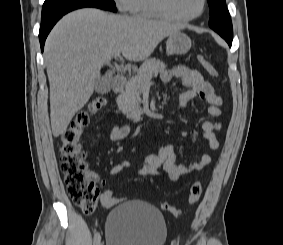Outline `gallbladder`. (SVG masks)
<instances>
[{
  "mask_svg": "<svg viewBox=\"0 0 283 245\" xmlns=\"http://www.w3.org/2000/svg\"><path fill=\"white\" fill-rule=\"evenodd\" d=\"M94 88L98 93H106L110 90V80L107 77H97L94 82Z\"/></svg>",
  "mask_w": 283,
  "mask_h": 245,
  "instance_id": "1",
  "label": "gallbladder"
}]
</instances>
